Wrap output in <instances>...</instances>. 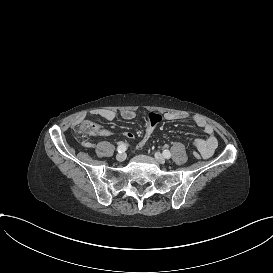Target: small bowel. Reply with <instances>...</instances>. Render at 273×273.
I'll use <instances>...</instances> for the list:
<instances>
[{
	"instance_id": "obj_1",
	"label": "small bowel",
	"mask_w": 273,
	"mask_h": 273,
	"mask_svg": "<svg viewBox=\"0 0 273 273\" xmlns=\"http://www.w3.org/2000/svg\"><path fill=\"white\" fill-rule=\"evenodd\" d=\"M91 115L100 117L102 119L112 121L117 118V112L111 109H98L91 112ZM123 120L130 121L135 118V112L131 110H124L120 113ZM188 116L180 112H166L163 114V118L166 121H181L186 119ZM192 121L203 131L204 137H199L194 140V145L200 155L203 158H210L217 148V138L214 133V128L209 124L204 118L200 116H193ZM104 136H108L112 133L111 130L103 127ZM84 132L90 139H95L99 135V130L93 123H88L84 127ZM125 137L128 139H133L134 134L130 131L124 133ZM87 148H92L93 145H87L82 143Z\"/></svg>"
}]
</instances>
